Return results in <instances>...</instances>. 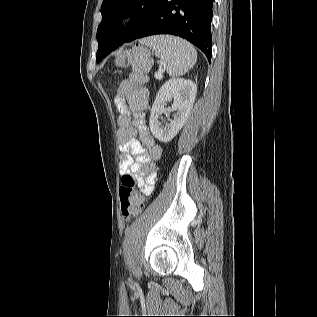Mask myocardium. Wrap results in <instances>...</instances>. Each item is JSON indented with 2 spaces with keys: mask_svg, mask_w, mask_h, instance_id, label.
Here are the masks:
<instances>
[{
  "mask_svg": "<svg viewBox=\"0 0 317 317\" xmlns=\"http://www.w3.org/2000/svg\"><path fill=\"white\" fill-rule=\"evenodd\" d=\"M129 16L128 15H124L121 17V19L119 20L118 25H123L127 20H128Z\"/></svg>",
  "mask_w": 317,
  "mask_h": 317,
  "instance_id": "myocardium-1",
  "label": "myocardium"
}]
</instances>
